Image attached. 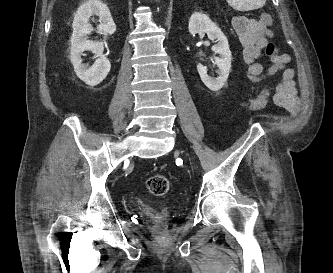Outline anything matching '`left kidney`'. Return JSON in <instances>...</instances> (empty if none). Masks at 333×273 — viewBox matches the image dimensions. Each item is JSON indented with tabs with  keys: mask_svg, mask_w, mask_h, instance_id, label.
Masks as SVG:
<instances>
[{
	"mask_svg": "<svg viewBox=\"0 0 333 273\" xmlns=\"http://www.w3.org/2000/svg\"><path fill=\"white\" fill-rule=\"evenodd\" d=\"M189 32L191 34L207 33L210 40H216L217 44L212 46V51L218 54L219 57H214L218 65V77L212 78L207 75V69L201 64L197 65L198 73L203 83L211 90H220L228 79L231 70V51L227 37L221 29L214 23L207 15L195 12L191 15L189 20Z\"/></svg>",
	"mask_w": 333,
	"mask_h": 273,
	"instance_id": "left-kidney-1",
	"label": "left kidney"
}]
</instances>
